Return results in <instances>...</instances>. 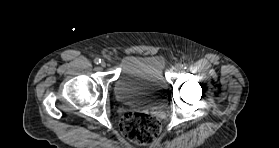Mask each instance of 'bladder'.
<instances>
[{"label": "bladder", "mask_w": 279, "mask_h": 148, "mask_svg": "<svg viewBox=\"0 0 279 148\" xmlns=\"http://www.w3.org/2000/svg\"><path fill=\"white\" fill-rule=\"evenodd\" d=\"M164 65V59L160 56L126 58L114 84L116 100L129 107L164 108L167 103Z\"/></svg>", "instance_id": "31cf9c89"}]
</instances>
